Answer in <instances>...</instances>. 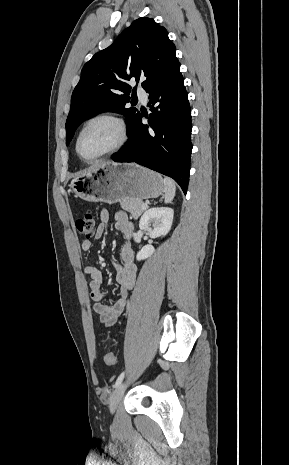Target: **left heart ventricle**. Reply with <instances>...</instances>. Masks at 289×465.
Segmentation results:
<instances>
[{
  "label": "left heart ventricle",
  "mask_w": 289,
  "mask_h": 465,
  "mask_svg": "<svg viewBox=\"0 0 289 465\" xmlns=\"http://www.w3.org/2000/svg\"><path fill=\"white\" fill-rule=\"evenodd\" d=\"M119 140L117 127L105 120L91 123L84 131L79 142L80 154L92 158L112 148Z\"/></svg>",
  "instance_id": "obj_1"
}]
</instances>
